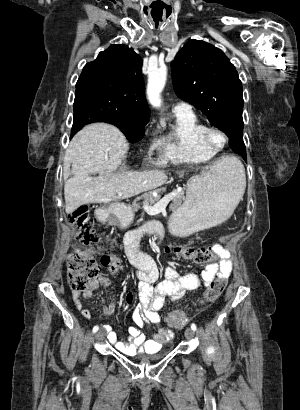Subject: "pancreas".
<instances>
[{
    "label": "pancreas",
    "instance_id": "1",
    "mask_svg": "<svg viewBox=\"0 0 300 410\" xmlns=\"http://www.w3.org/2000/svg\"><path fill=\"white\" fill-rule=\"evenodd\" d=\"M140 200H144L143 204H145V205L146 204L153 205V204H155L159 201V197H154L152 195V192L145 193V194L137 197L134 200V202L132 204L133 209L137 210V209L140 208V205L138 203V201H140ZM183 200H184V192L183 191L177 192V195L172 199V203L169 206L170 210H176L177 208H179L181 206Z\"/></svg>",
    "mask_w": 300,
    "mask_h": 410
}]
</instances>
